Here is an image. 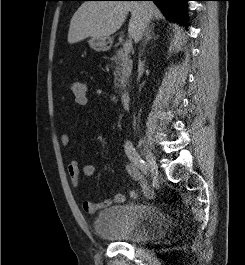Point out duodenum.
Returning <instances> with one entry per match:
<instances>
[{"label": "duodenum", "instance_id": "obj_1", "mask_svg": "<svg viewBox=\"0 0 245 265\" xmlns=\"http://www.w3.org/2000/svg\"><path fill=\"white\" fill-rule=\"evenodd\" d=\"M121 96H122V102H123L124 107L129 109L131 106V94H130V92L124 90V91H122Z\"/></svg>", "mask_w": 245, "mask_h": 265}]
</instances>
